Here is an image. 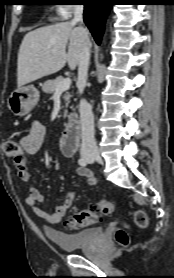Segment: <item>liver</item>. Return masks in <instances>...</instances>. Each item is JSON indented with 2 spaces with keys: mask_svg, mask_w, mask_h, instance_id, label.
<instances>
[{
  "mask_svg": "<svg viewBox=\"0 0 174 278\" xmlns=\"http://www.w3.org/2000/svg\"><path fill=\"white\" fill-rule=\"evenodd\" d=\"M68 52L66 46L68 44ZM90 47L88 32L69 22L28 32L20 45L17 86L22 87L61 70L66 62L71 70L78 65L83 47Z\"/></svg>",
  "mask_w": 174,
  "mask_h": 278,
  "instance_id": "1",
  "label": "liver"
}]
</instances>
